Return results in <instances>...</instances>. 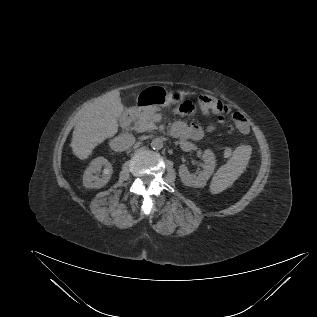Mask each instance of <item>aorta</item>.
I'll use <instances>...</instances> for the list:
<instances>
[{
  "label": "aorta",
  "mask_w": 317,
  "mask_h": 317,
  "mask_svg": "<svg viewBox=\"0 0 317 317\" xmlns=\"http://www.w3.org/2000/svg\"><path fill=\"white\" fill-rule=\"evenodd\" d=\"M151 147L152 149L154 150H160L163 148V140L161 138H154L152 141H151Z\"/></svg>",
  "instance_id": "aorta-1"
}]
</instances>
